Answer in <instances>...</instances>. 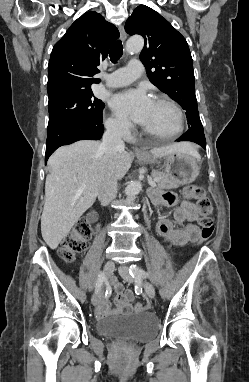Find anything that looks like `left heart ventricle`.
I'll use <instances>...</instances> for the list:
<instances>
[{
	"label": "left heart ventricle",
	"mask_w": 249,
	"mask_h": 382,
	"mask_svg": "<svg viewBox=\"0 0 249 382\" xmlns=\"http://www.w3.org/2000/svg\"><path fill=\"white\" fill-rule=\"evenodd\" d=\"M141 125L156 135H170L177 129V117L169 105L155 101Z\"/></svg>",
	"instance_id": "b2bd125f"
}]
</instances>
